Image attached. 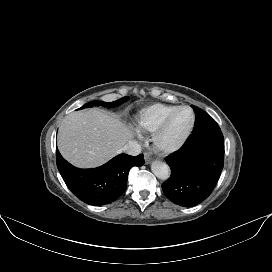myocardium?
<instances>
[{
    "label": "myocardium",
    "instance_id": "f54148a6",
    "mask_svg": "<svg viewBox=\"0 0 272 272\" xmlns=\"http://www.w3.org/2000/svg\"><path fill=\"white\" fill-rule=\"evenodd\" d=\"M188 110L191 114V120L186 128V130L174 141H167L165 139L166 132L169 126V123L173 116L180 110ZM195 125V113L193 109L186 105H181L175 107L162 121L160 126L157 128V130L153 134V144L156 150L163 152V153H170L178 150L181 148L185 142L188 140L189 136L191 135L193 128Z\"/></svg>",
    "mask_w": 272,
    "mask_h": 272
}]
</instances>
